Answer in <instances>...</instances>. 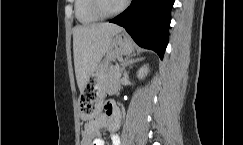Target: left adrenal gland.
<instances>
[{
  "mask_svg": "<svg viewBox=\"0 0 243 145\" xmlns=\"http://www.w3.org/2000/svg\"><path fill=\"white\" fill-rule=\"evenodd\" d=\"M143 58H136V59H133V58H129L127 57L123 63V67H122V72L125 71V68L127 66H131L132 64L138 62V61H141Z\"/></svg>",
  "mask_w": 243,
  "mask_h": 145,
  "instance_id": "a2214340",
  "label": "left adrenal gland"
}]
</instances>
